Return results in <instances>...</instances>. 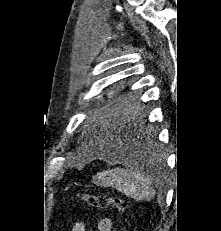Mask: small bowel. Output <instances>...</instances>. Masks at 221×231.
Masks as SVG:
<instances>
[{"mask_svg": "<svg viewBox=\"0 0 221 231\" xmlns=\"http://www.w3.org/2000/svg\"><path fill=\"white\" fill-rule=\"evenodd\" d=\"M112 229V220L108 217L101 218L97 223L96 231H111ZM72 231H86V225L83 221L77 222Z\"/></svg>", "mask_w": 221, "mask_h": 231, "instance_id": "1", "label": "small bowel"}]
</instances>
